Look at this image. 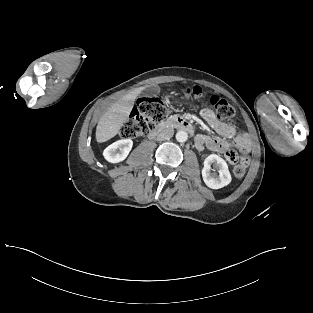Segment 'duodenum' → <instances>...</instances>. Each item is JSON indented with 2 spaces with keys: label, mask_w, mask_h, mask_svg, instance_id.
Instances as JSON below:
<instances>
[{
  "label": "duodenum",
  "mask_w": 313,
  "mask_h": 313,
  "mask_svg": "<svg viewBox=\"0 0 313 313\" xmlns=\"http://www.w3.org/2000/svg\"><path fill=\"white\" fill-rule=\"evenodd\" d=\"M172 128H178L190 134L194 133L193 126L187 120L181 117H174L159 125L155 130L151 131L149 133V138L165 136Z\"/></svg>",
  "instance_id": "duodenum-1"
}]
</instances>
